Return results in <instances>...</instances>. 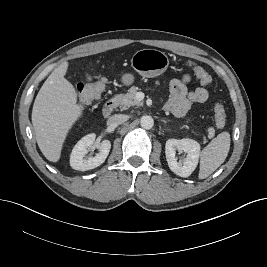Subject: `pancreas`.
Instances as JSON below:
<instances>
[{
  "label": "pancreas",
  "mask_w": 267,
  "mask_h": 267,
  "mask_svg": "<svg viewBox=\"0 0 267 267\" xmlns=\"http://www.w3.org/2000/svg\"><path fill=\"white\" fill-rule=\"evenodd\" d=\"M138 88L131 87L126 94H119L116 96V102L120 106L121 110H126L130 106L140 105L141 102L136 99ZM190 119H187L186 122H190ZM203 142H207V138L203 136Z\"/></svg>",
  "instance_id": "1"
}]
</instances>
